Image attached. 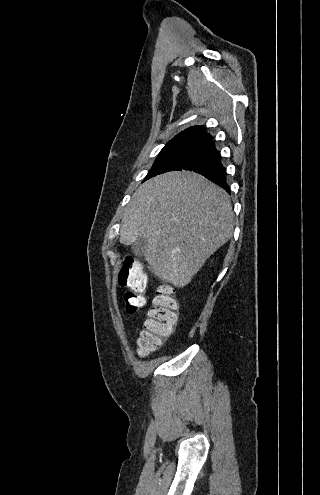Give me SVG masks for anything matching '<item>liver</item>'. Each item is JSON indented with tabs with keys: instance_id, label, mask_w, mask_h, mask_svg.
<instances>
[{
	"instance_id": "6515ba94",
	"label": "liver",
	"mask_w": 320,
	"mask_h": 495,
	"mask_svg": "<svg viewBox=\"0 0 320 495\" xmlns=\"http://www.w3.org/2000/svg\"><path fill=\"white\" fill-rule=\"evenodd\" d=\"M233 217L226 191L201 174L172 171L135 191L121 222L120 242L132 245L143 235L151 272L182 288L232 237Z\"/></svg>"
}]
</instances>
